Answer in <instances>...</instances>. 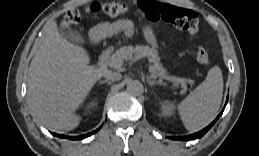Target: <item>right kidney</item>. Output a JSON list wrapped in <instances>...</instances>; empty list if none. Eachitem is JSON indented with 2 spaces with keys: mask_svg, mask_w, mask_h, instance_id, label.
I'll return each instance as SVG.
<instances>
[{
  "mask_svg": "<svg viewBox=\"0 0 259 156\" xmlns=\"http://www.w3.org/2000/svg\"><path fill=\"white\" fill-rule=\"evenodd\" d=\"M96 105L95 100H92L91 102H89V104L87 105V109L90 110L92 107H94Z\"/></svg>",
  "mask_w": 259,
  "mask_h": 156,
  "instance_id": "obj_1",
  "label": "right kidney"
}]
</instances>
